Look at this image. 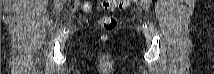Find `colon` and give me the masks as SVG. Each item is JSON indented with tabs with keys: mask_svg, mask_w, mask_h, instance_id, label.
Wrapping results in <instances>:
<instances>
[{
	"mask_svg": "<svg viewBox=\"0 0 214 74\" xmlns=\"http://www.w3.org/2000/svg\"><path fill=\"white\" fill-rule=\"evenodd\" d=\"M131 2V0H107L102 2V6L106 10L125 9L130 6ZM82 7L85 11H90L91 3L84 2ZM100 24L104 30L112 31L117 27V19L114 16H104L101 18Z\"/></svg>",
	"mask_w": 214,
	"mask_h": 74,
	"instance_id": "obj_1",
	"label": "colon"
}]
</instances>
